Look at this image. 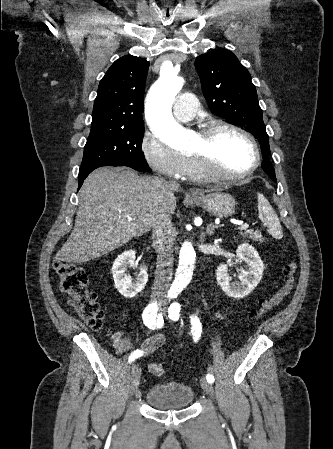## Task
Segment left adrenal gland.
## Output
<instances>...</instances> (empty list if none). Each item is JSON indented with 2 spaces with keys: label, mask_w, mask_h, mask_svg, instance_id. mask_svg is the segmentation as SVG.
<instances>
[{
  "label": "left adrenal gland",
  "mask_w": 333,
  "mask_h": 449,
  "mask_svg": "<svg viewBox=\"0 0 333 449\" xmlns=\"http://www.w3.org/2000/svg\"><path fill=\"white\" fill-rule=\"evenodd\" d=\"M217 228V226H214L213 224H209V226L207 227V233L209 235H213L214 234V230Z\"/></svg>",
  "instance_id": "a2214340"
}]
</instances>
